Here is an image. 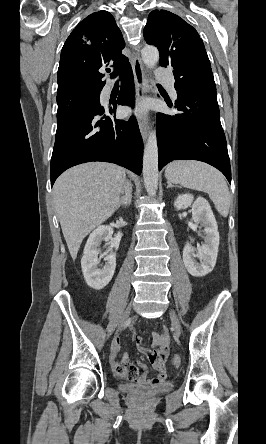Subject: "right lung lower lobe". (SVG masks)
Here are the masks:
<instances>
[{
	"label": "right lung lower lobe",
	"instance_id": "1",
	"mask_svg": "<svg viewBox=\"0 0 266 444\" xmlns=\"http://www.w3.org/2000/svg\"><path fill=\"white\" fill-rule=\"evenodd\" d=\"M120 74L121 90L113 107L100 106L92 113L76 115L57 126L50 168L51 186L66 169L91 161L115 163L141 174L143 141L137 121L134 117L128 121L115 118L117 103L131 105L134 101L131 65Z\"/></svg>",
	"mask_w": 266,
	"mask_h": 444
}]
</instances>
